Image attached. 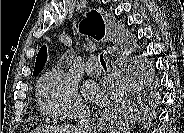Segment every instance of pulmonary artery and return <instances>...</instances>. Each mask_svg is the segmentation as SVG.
Instances as JSON below:
<instances>
[{
    "mask_svg": "<svg viewBox=\"0 0 184 133\" xmlns=\"http://www.w3.org/2000/svg\"><path fill=\"white\" fill-rule=\"evenodd\" d=\"M85 71L89 76L97 77L101 75V67L97 63L95 56H91L85 66Z\"/></svg>",
    "mask_w": 184,
    "mask_h": 133,
    "instance_id": "1",
    "label": "pulmonary artery"
}]
</instances>
